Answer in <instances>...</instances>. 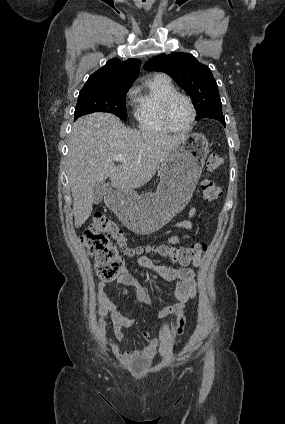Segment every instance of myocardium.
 Wrapping results in <instances>:
<instances>
[{"mask_svg": "<svg viewBox=\"0 0 285 424\" xmlns=\"http://www.w3.org/2000/svg\"><path fill=\"white\" fill-rule=\"evenodd\" d=\"M177 98H183L184 100H186L187 103L190 106V109H191V118H190V121H189L188 125L186 127H184V128H176V127H174L170 123L169 117H168V111H169L170 105ZM196 116H197V112H196L195 105H194L192 99L189 96L185 95V94H182V93H179V92H175V93L169 95L163 101V103H162V106H161V119H162V122L165 125V127L167 129H169L171 132H175V133H186V132H188L193 127L194 122L196 120Z\"/></svg>", "mask_w": 285, "mask_h": 424, "instance_id": "obj_1", "label": "myocardium"}]
</instances>
